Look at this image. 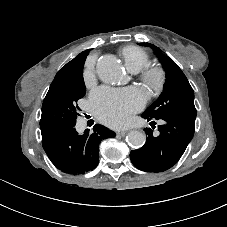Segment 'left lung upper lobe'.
<instances>
[{"instance_id": "obj_1", "label": "left lung upper lobe", "mask_w": 227, "mask_h": 227, "mask_svg": "<svg viewBox=\"0 0 227 227\" xmlns=\"http://www.w3.org/2000/svg\"><path fill=\"white\" fill-rule=\"evenodd\" d=\"M139 45L153 49L166 72L162 94L143 114L152 118L178 115L195 120L197 112L194 105V91L182 70L158 47L150 43H139Z\"/></svg>"}]
</instances>
